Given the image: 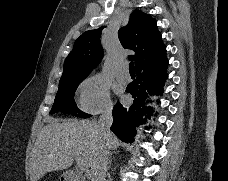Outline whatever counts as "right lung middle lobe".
Instances as JSON below:
<instances>
[{"instance_id": "right-lung-middle-lobe-1", "label": "right lung middle lobe", "mask_w": 228, "mask_h": 181, "mask_svg": "<svg viewBox=\"0 0 228 181\" xmlns=\"http://www.w3.org/2000/svg\"><path fill=\"white\" fill-rule=\"evenodd\" d=\"M81 81L82 80L59 83V89L50 112L51 114L61 111L66 113H72L80 118L91 117V115L79 110L74 101L75 90L77 89Z\"/></svg>"}]
</instances>
